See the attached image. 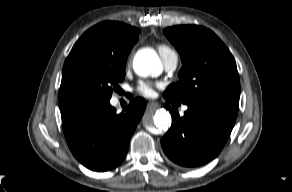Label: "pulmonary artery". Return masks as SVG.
<instances>
[{"instance_id": "1", "label": "pulmonary artery", "mask_w": 292, "mask_h": 192, "mask_svg": "<svg viewBox=\"0 0 292 192\" xmlns=\"http://www.w3.org/2000/svg\"><path fill=\"white\" fill-rule=\"evenodd\" d=\"M161 57L163 60L164 67L167 71H173L176 68L177 63H178V56H177L176 52H174L172 50V51L165 53ZM187 108H188L187 106H183L182 110L186 111Z\"/></svg>"}]
</instances>
